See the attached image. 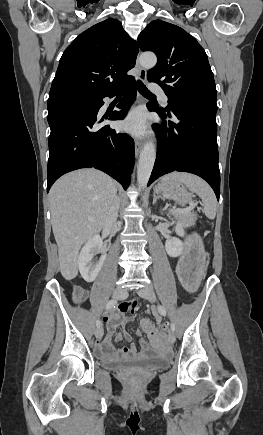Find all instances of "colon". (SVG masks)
Wrapping results in <instances>:
<instances>
[{
    "instance_id": "colon-1",
    "label": "colon",
    "mask_w": 263,
    "mask_h": 435,
    "mask_svg": "<svg viewBox=\"0 0 263 435\" xmlns=\"http://www.w3.org/2000/svg\"><path fill=\"white\" fill-rule=\"evenodd\" d=\"M86 296V292L82 287H76L74 290V300L76 302H81ZM162 332L164 335L168 334V329H170V324H162ZM151 341V339H150ZM161 343L162 340L160 339ZM160 351V350H159ZM128 379L132 382L136 381L138 379V376L135 374H132L130 376H128Z\"/></svg>"
}]
</instances>
